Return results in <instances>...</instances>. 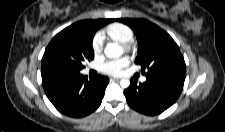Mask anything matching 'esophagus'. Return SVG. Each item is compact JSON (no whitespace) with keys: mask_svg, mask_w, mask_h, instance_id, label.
Segmentation results:
<instances>
[{"mask_svg":"<svg viewBox=\"0 0 225 132\" xmlns=\"http://www.w3.org/2000/svg\"><path fill=\"white\" fill-rule=\"evenodd\" d=\"M119 80H120L119 78H115V77L110 78V81H119Z\"/></svg>","mask_w":225,"mask_h":132,"instance_id":"esophagus-1","label":"esophagus"}]
</instances>
